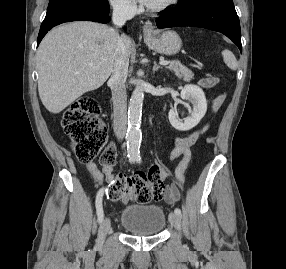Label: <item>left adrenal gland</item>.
I'll list each match as a JSON object with an SVG mask.
<instances>
[{
    "label": "left adrenal gland",
    "instance_id": "obj_1",
    "mask_svg": "<svg viewBox=\"0 0 286 269\" xmlns=\"http://www.w3.org/2000/svg\"><path fill=\"white\" fill-rule=\"evenodd\" d=\"M160 68H162V67L157 65L156 61H154L153 73H155V71H157Z\"/></svg>",
    "mask_w": 286,
    "mask_h": 269
}]
</instances>
